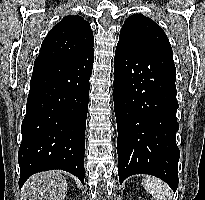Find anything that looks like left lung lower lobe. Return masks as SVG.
<instances>
[{"mask_svg": "<svg viewBox=\"0 0 205 200\" xmlns=\"http://www.w3.org/2000/svg\"><path fill=\"white\" fill-rule=\"evenodd\" d=\"M176 69L170 47L132 50L117 45L114 110L120 184L134 174H150L173 190L180 157L175 142Z\"/></svg>", "mask_w": 205, "mask_h": 200, "instance_id": "1", "label": "left lung lower lobe"}]
</instances>
